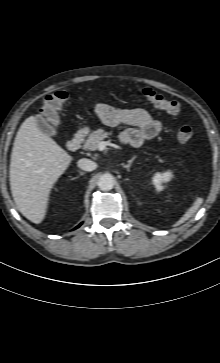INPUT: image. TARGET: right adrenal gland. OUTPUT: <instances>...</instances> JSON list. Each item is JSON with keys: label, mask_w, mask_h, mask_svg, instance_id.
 I'll return each instance as SVG.
<instances>
[{"label": "right adrenal gland", "mask_w": 220, "mask_h": 363, "mask_svg": "<svg viewBox=\"0 0 220 363\" xmlns=\"http://www.w3.org/2000/svg\"><path fill=\"white\" fill-rule=\"evenodd\" d=\"M78 173H79L80 175H84V174H85L84 172H82V171H80V170H78Z\"/></svg>", "instance_id": "right-adrenal-gland-1"}]
</instances>
